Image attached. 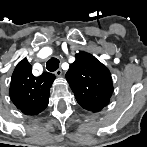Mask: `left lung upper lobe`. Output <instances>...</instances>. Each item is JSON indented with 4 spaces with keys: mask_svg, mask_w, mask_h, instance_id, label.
Instances as JSON below:
<instances>
[{
    "mask_svg": "<svg viewBox=\"0 0 147 147\" xmlns=\"http://www.w3.org/2000/svg\"><path fill=\"white\" fill-rule=\"evenodd\" d=\"M75 57L66 79L81 107L99 112L108 105L113 93L110 71L89 53L79 52Z\"/></svg>",
    "mask_w": 147,
    "mask_h": 147,
    "instance_id": "obj_1",
    "label": "left lung upper lobe"
}]
</instances>
